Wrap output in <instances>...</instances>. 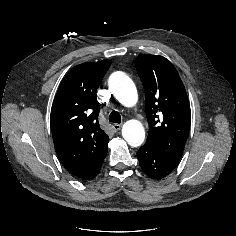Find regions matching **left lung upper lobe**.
<instances>
[{"mask_svg":"<svg viewBox=\"0 0 236 236\" xmlns=\"http://www.w3.org/2000/svg\"><path fill=\"white\" fill-rule=\"evenodd\" d=\"M136 69L146 96L149 133L144 145L178 162L188 138L191 111L183 82L163 56L143 54Z\"/></svg>","mask_w":236,"mask_h":236,"instance_id":"1","label":"left lung upper lobe"}]
</instances>
